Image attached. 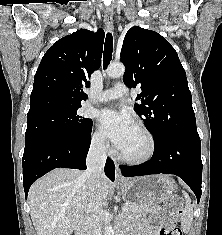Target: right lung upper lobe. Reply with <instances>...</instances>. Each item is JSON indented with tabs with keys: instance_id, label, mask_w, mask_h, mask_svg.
<instances>
[{
	"instance_id": "1",
	"label": "right lung upper lobe",
	"mask_w": 222,
	"mask_h": 235,
	"mask_svg": "<svg viewBox=\"0 0 222 235\" xmlns=\"http://www.w3.org/2000/svg\"><path fill=\"white\" fill-rule=\"evenodd\" d=\"M104 31L80 29L53 44L34 76L27 116L67 105H81L92 72L101 65Z\"/></svg>"
}]
</instances>
